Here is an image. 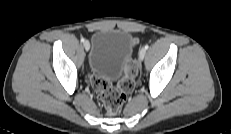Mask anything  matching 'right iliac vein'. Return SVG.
Returning <instances> with one entry per match:
<instances>
[{
  "label": "right iliac vein",
  "mask_w": 231,
  "mask_h": 134,
  "mask_svg": "<svg viewBox=\"0 0 231 134\" xmlns=\"http://www.w3.org/2000/svg\"><path fill=\"white\" fill-rule=\"evenodd\" d=\"M83 45H84L85 50H86V51H89V49H90V44H89V42H88V41H84Z\"/></svg>",
  "instance_id": "63e3f726"
}]
</instances>
